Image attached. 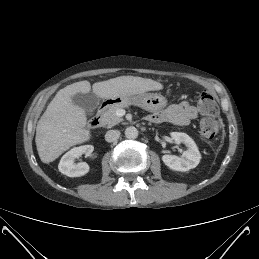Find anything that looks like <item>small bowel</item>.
<instances>
[{
  "label": "small bowel",
  "instance_id": "obj_1",
  "mask_svg": "<svg viewBox=\"0 0 259 259\" xmlns=\"http://www.w3.org/2000/svg\"><path fill=\"white\" fill-rule=\"evenodd\" d=\"M199 113L203 114L200 104L199 108H197L187 101H182L168 106L163 111L149 115L148 120L154 123L168 122L178 126H185L195 120Z\"/></svg>",
  "mask_w": 259,
  "mask_h": 259
}]
</instances>
